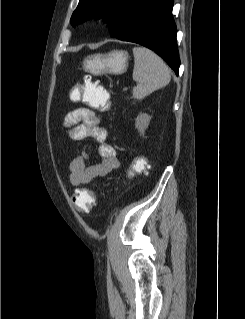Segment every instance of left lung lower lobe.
<instances>
[{"mask_svg": "<svg viewBox=\"0 0 245 319\" xmlns=\"http://www.w3.org/2000/svg\"><path fill=\"white\" fill-rule=\"evenodd\" d=\"M173 0H142L115 38L141 44L161 56L178 75L180 59Z\"/></svg>", "mask_w": 245, "mask_h": 319, "instance_id": "obj_1", "label": "left lung lower lobe"}]
</instances>
